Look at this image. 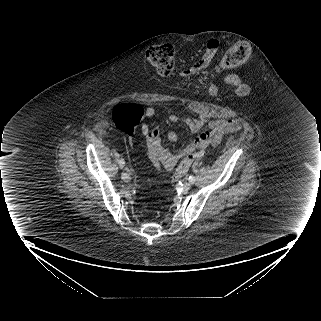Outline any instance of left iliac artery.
Masks as SVG:
<instances>
[{"label":"left iliac artery","mask_w":321,"mask_h":321,"mask_svg":"<svg viewBox=\"0 0 321 321\" xmlns=\"http://www.w3.org/2000/svg\"><path fill=\"white\" fill-rule=\"evenodd\" d=\"M188 179L191 183H194L195 181V177L193 175H190Z\"/></svg>","instance_id":"1"}]
</instances>
